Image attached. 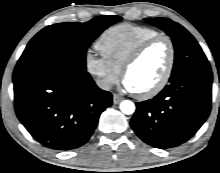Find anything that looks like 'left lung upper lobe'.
Wrapping results in <instances>:
<instances>
[{"label": "left lung upper lobe", "instance_id": "left-lung-upper-lobe-1", "mask_svg": "<svg viewBox=\"0 0 220 173\" xmlns=\"http://www.w3.org/2000/svg\"><path fill=\"white\" fill-rule=\"evenodd\" d=\"M145 21L171 36L175 60L170 82L184 74L210 71V64L194 37L180 24L166 18H145Z\"/></svg>", "mask_w": 220, "mask_h": 173}]
</instances>
